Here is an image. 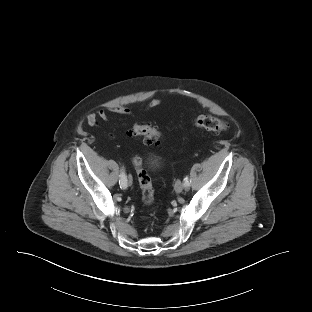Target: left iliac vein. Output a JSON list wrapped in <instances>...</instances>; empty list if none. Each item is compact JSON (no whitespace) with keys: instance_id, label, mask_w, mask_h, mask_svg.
<instances>
[{"instance_id":"1","label":"left iliac vein","mask_w":312,"mask_h":312,"mask_svg":"<svg viewBox=\"0 0 312 312\" xmlns=\"http://www.w3.org/2000/svg\"><path fill=\"white\" fill-rule=\"evenodd\" d=\"M184 187H185L184 183L179 180L175 183V191L177 193H180L184 189Z\"/></svg>"}]
</instances>
